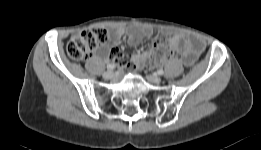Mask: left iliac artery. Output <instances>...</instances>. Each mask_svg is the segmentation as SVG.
I'll return each mask as SVG.
<instances>
[{"label":"left iliac artery","instance_id":"44dca946","mask_svg":"<svg viewBox=\"0 0 261 150\" xmlns=\"http://www.w3.org/2000/svg\"><path fill=\"white\" fill-rule=\"evenodd\" d=\"M157 74H158V75H163V74H164L163 69H159V70L157 71Z\"/></svg>","mask_w":261,"mask_h":150}]
</instances>
